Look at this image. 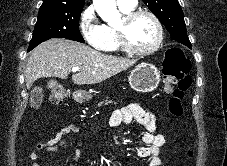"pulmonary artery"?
<instances>
[{
	"mask_svg": "<svg viewBox=\"0 0 227 166\" xmlns=\"http://www.w3.org/2000/svg\"><path fill=\"white\" fill-rule=\"evenodd\" d=\"M117 4L125 9H133L137 4V0H117Z\"/></svg>",
	"mask_w": 227,
	"mask_h": 166,
	"instance_id": "pulmonary-artery-1",
	"label": "pulmonary artery"
}]
</instances>
